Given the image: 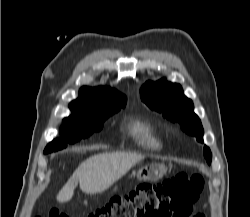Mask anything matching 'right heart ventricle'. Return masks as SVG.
I'll list each match as a JSON object with an SVG mask.
<instances>
[{
  "label": "right heart ventricle",
  "instance_id": "right-heart-ventricle-1",
  "mask_svg": "<svg viewBox=\"0 0 250 217\" xmlns=\"http://www.w3.org/2000/svg\"><path fill=\"white\" fill-rule=\"evenodd\" d=\"M127 129L139 147L151 151H157L162 148V141L150 123L134 120L128 125Z\"/></svg>",
  "mask_w": 250,
  "mask_h": 217
}]
</instances>
